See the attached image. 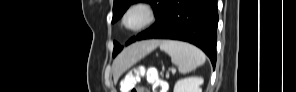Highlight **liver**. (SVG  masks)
Instances as JSON below:
<instances>
[{"mask_svg":"<svg viewBox=\"0 0 296 92\" xmlns=\"http://www.w3.org/2000/svg\"><path fill=\"white\" fill-rule=\"evenodd\" d=\"M160 44L157 40L142 41L125 48L113 62V77L117 81L121 74Z\"/></svg>","mask_w":296,"mask_h":92,"instance_id":"obj_1","label":"liver"}]
</instances>
